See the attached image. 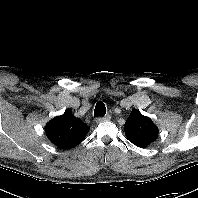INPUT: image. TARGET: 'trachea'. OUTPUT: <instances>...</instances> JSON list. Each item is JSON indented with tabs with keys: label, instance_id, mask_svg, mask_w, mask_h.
Listing matches in <instances>:
<instances>
[{
	"label": "trachea",
	"instance_id": "3493384b",
	"mask_svg": "<svg viewBox=\"0 0 198 198\" xmlns=\"http://www.w3.org/2000/svg\"><path fill=\"white\" fill-rule=\"evenodd\" d=\"M106 114V107L103 102H98L94 109V116L95 117H104Z\"/></svg>",
	"mask_w": 198,
	"mask_h": 198
}]
</instances>
